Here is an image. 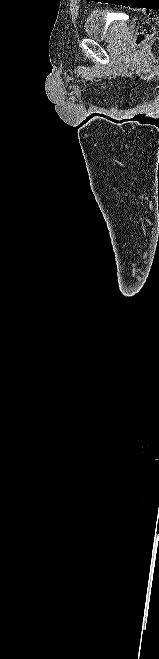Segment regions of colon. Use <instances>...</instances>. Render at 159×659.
<instances>
[{
	"mask_svg": "<svg viewBox=\"0 0 159 659\" xmlns=\"http://www.w3.org/2000/svg\"><path fill=\"white\" fill-rule=\"evenodd\" d=\"M155 35V27L150 22H142L138 26L135 45L141 46L146 40Z\"/></svg>",
	"mask_w": 159,
	"mask_h": 659,
	"instance_id": "1",
	"label": "colon"
}]
</instances>
